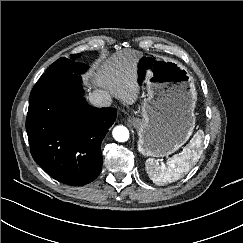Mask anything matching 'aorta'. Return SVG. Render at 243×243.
Instances as JSON below:
<instances>
[{"label": "aorta", "instance_id": "aorta-1", "mask_svg": "<svg viewBox=\"0 0 243 243\" xmlns=\"http://www.w3.org/2000/svg\"><path fill=\"white\" fill-rule=\"evenodd\" d=\"M112 134L114 139L118 142H125L129 139V131L125 126H116Z\"/></svg>", "mask_w": 243, "mask_h": 243}]
</instances>
